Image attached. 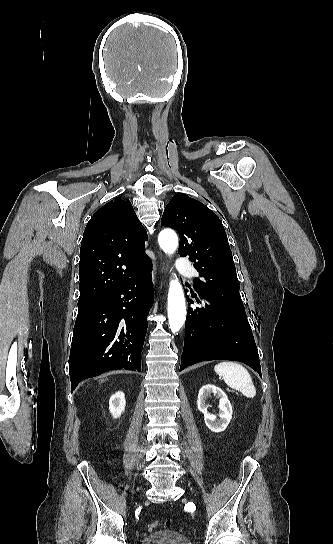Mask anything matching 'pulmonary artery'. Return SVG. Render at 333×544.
I'll return each instance as SVG.
<instances>
[{
  "label": "pulmonary artery",
  "instance_id": "pulmonary-artery-1",
  "mask_svg": "<svg viewBox=\"0 0 333 544\" xmlns=\"http://www.w3.org/2000/svg\"><path fill=\"white\" fill-rule=\"evenodd\" d=\"M177 270L180 274L187 277H194L196 275V271L193 266L188 261L183 259L178 260Z\"/></svg>",
  "mask_w": 333,
  "mask_h": 544
}]
</instances>
